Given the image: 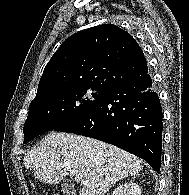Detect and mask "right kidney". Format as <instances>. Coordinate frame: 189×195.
I'll return each instance as SVG.
<instances>
[{
    "instance_id": "1",
    "label": "right kidney",
    "mask_w": 189,
    "mask_h": 195,
    "mask_svg": "<svg viewBox=\"0 0 189 195\" xmlns=\"http://www.w3.org/2000/svg\"><path fill=\"white\" fill-rule=\"evenodd\" d=\"M112 195H141V188L138 184L130 181L119 185Z\"/></svg>"
}]
</instances>
